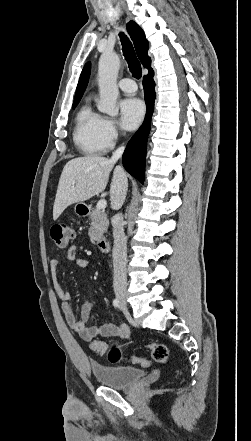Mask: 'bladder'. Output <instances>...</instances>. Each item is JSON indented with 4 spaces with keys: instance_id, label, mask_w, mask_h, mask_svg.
<instances>
[{
    "instance_id": "31cf9c89",
    "label": "bladder",
    "mask_w": 251,
    "mask_h": 441,
    "mask_svg": "<svg viewBox=\"0 0 251 441\" xmlns=\"http://www.w3.org/2000/svg\"><path fill=\"white\" fill-rule=\"evenodd\" d=\"M91 371L95 379L104 386L122 389L131 386L145 375L144 370L131 366H109L94 363Z\"/></svg>"
}]
</instances>
